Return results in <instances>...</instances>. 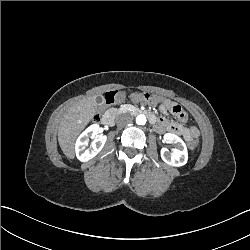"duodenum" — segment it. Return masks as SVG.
Instances as JSON below:
<instances>
[{
	"mask_svg": "<svg viewBox=\"0 0 250 250\" xmlns=\"http://www.w3.org/2000/svg\"><path fill=\"white\" fill-rule=\"evenodd\" d=\"M139 113H140V111H138V110L134 111V114H139ZM102 123L107 127H110V126L113 125V123H114V115H113L112 111H109V112L104 114V116L102 118Z\"/></svg>",
	"mask_w": 250,
	"mask_h": 250,
	"instance_id": "1",
	"label": "duodenum"
}]
</instances>
